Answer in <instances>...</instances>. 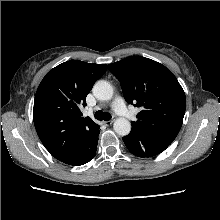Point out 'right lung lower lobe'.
<instances>
[{"instance_id":"98d812e1","label":"right lung lower lobe","mask_w":220,"mask_h":220,"mask_svg":"<svg viewBox=\"0 0 220 220\" xmlns=\"http://www.w3.org/2000/svg\"><path fill=\"white\" fill-rule=\"evenodd\" d=\"M98 136L97 138L87 147L85 148L80 154H78L72 160L66 162L69 165L79 166L83 165L95 157L96 153V146H97Z\"/></svg>"}]
</instances>
